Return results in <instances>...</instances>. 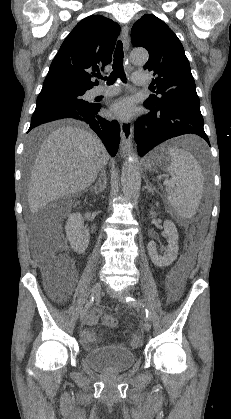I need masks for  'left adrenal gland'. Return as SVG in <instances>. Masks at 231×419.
Listing matches in <instances>:
<instances>
[{
    "instance_id": "left-adrenal-gland-1",
    "label": "left adrenal gland",
    "mask_w": 231,
    "mask_h": 419,
    "mask_svg": "<svg viewBox=\"0 0 231 419\" xmlns=\"http://www.w3.org/2000/svg\"><path fill=\"white\" fill-rule=\"evenodd\" d=\"M144 189H147L150 193L154 194L152 186L149 185V180H146V185L144 186Z\"/></svg>"
}]
</instances>
